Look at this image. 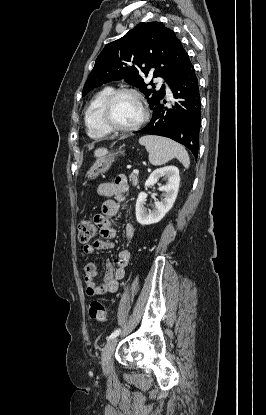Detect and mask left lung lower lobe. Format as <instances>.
<instances>
[{"label": "left lung lower lobe", "instance_id": "left-lung-lower-lobe-1", "mask_svg": "<svg viewBox=\"0 0 266 415\" xmlns=\"http://www.w3.org/2000/svg\"><path fill=\"white\" fill-rule=\"evenodd\" d=\"M169 87L174 97L172 108L161 104L153 108L149 124L135 133L159 135L173 139L187 147L197 158L201 101L198 79L189 58Z\"/></svg>", "mask_w": 266, "mask_h": 415}]
</instances>
